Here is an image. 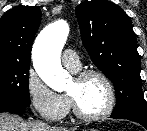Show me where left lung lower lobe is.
I'll return each instance as SVG.
<instances>
[{"label": "left lung lower lobe", "instance_id": "0a47b994", "mask_svg": "<svg viewBox=\"0 0 147 131\" xmlns=\"http://www.w3.org/2000/svg\"><path fill=\"white\" fill-rule=\"evenodd\" d=\"M110 118L115 119H127L137 122L147 129V116L137 115V114H122V115H111Z\"/></svg>", "mask_w": 147, "mask_h": 131}]
</instances>
